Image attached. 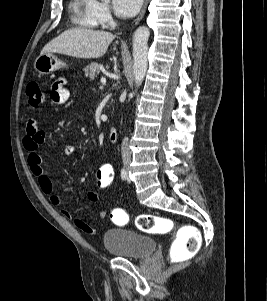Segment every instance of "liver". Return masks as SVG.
<instances>
[{
  "label": "liver",
  "instance_id": "obj_1",
  "mask_svg": "<svg viewBox=\"0 0 267 301\" xmlns=\"http://www.w3.org/2000/svg\"><path fill=\"white\" fill-rule=\"evenodd\" d=\"M114 35L106 31L84 28L69 29L54 38L42 49L41 54L59 53L76 58L102 57Z\"/></svg>",
  "mask_w": 267,
  "mask_h": 301
}]
</instances>
